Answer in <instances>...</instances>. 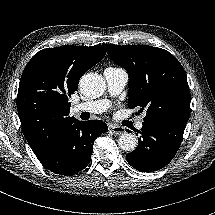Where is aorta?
Wrapping results in <instances>:
<instances>
[{
	"label": "aorta",
	"mask_w": 215,
	"mask_h": 215,
	"mask_svg": "<svg viewBox=\"0 0 215 215\" xmlns=\"http://www.w3.org/2000/svg\"><path fill=\"white\" fill-rule=\"evenodd\" d=\"M79 86L84 96L97 98L104 93L105 80L99 74L89 73L82 76ZM118 145L122 150L132 152L137 147V139L132 133L124 132L118 139Z\"/></svg>",
	"instance_id": "obj_1"
}]
</instances>
